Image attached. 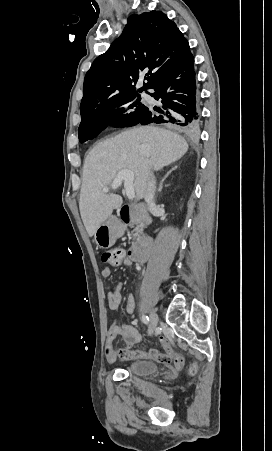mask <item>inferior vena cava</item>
<instances>
[{"label":"inferior vena cava","instance_id":"obj_1","mask_svg":"<svg viewBox=\"0 0 272 451\" xmlns=\"http://www.w3.org/2000/svg\"><path fill=\"white\" fill-rule=\"evenodd\" d=\"M156 180L153 176V174H149L148 176V182H147V188L144 196V200L146 204H148V210H153L155 208L154 204V196H155V186Z\"/></svg>","mask_w":272,"mask_h":451}]
</instances>
